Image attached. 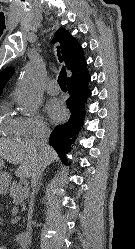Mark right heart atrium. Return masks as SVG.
Returning <instances> with one entry per match:
<instances>
[{
    "mask_svg": "<svg viewBox=\"0 0 135 249\" xmlns=\"http://www.w3.org/2000/svg\"><path fill=\"white\" fill-rule=\"evenodd\" d=\"M16 127L21 137H31L46 134L49 130L47 123L37 113L15 118Z\"/></svg>",
    "mask_w": 135,
    "mask_h": 249,
    "instance_id": "d8ad5b80",
    "label": "right heart atrium"
}]
</instances>
